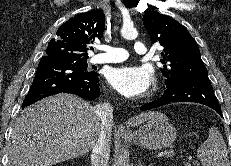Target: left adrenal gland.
Here are the masks:
<instances>
[{"mask_svg":"<svg viewBox=\"0 0 231 166\" xmlns=\"http://www.w3.org/2000/svg\"><path fill=\"white\" fill-rule=\"evenodd\" d=\"M138 166H145V165H143L142 159H139V160H138ZM150 166H151V165H150Z\"/></svg>","mask_w":231,"mask_h":166,"instance_id":"a2214340","label":"left adrenal gland"}]
</instances>
